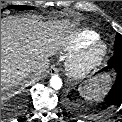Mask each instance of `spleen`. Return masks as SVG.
<instances>
[{
	"label": "spleen",
	"instance_id": "obj_1",
	"mask_svg": "<svg viewBox=\"0 0 122 122\" xmlns=\"http://www.w3.org/2000/svg\"><path fill=\"white\" fill-rule=\"evenodd\" d=\"M110 79L108 76H102L100 79H91L89 83L79 86L80 95L89 101H98L106 95L109 89Z\"/></svg>",
	"mask_w": 122,
	"mask_h": 122
}]
</instances>
